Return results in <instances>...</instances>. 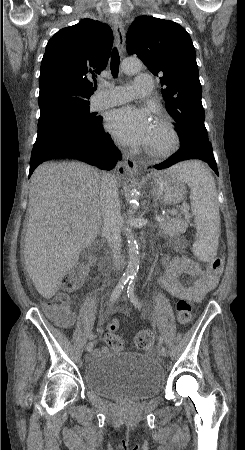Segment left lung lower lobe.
Masks as SVG:
<instances>
[{
  "instance_id": "obj_1",
  "label": "left lung lower lobe",
  "mask_w": 245,
  "mask_h": 450,
  "mask_svg": "<svg viewBox=\"0 0 245 450\" xmlns=\"http://www.w3.org/2000/svg\"><path fill=\"white\" fill-rule=\"evenodd\" d=\"M186 159H200L207 162L210 167L215 171L218 175V169L216 165L215 158L212 153V149L209 146L203 147L201 149H193L189 151L179 150L177 153L170 156L167 160L154 165L155 169L161 170L172 166L173 164L186 160Z\"/></svg>"
}]
</instances>
